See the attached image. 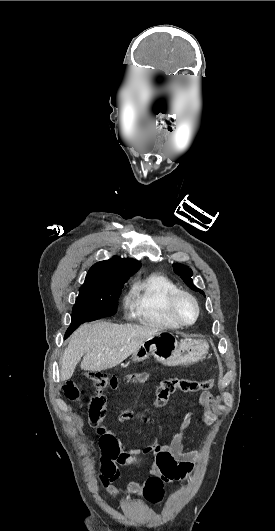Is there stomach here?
<instances>
[{"label":"stomach","mask_w":275,"mask_h":531,"mask_svg":"<svg viewBox=\"0 0 275 531\" xmlns=\"http://www.w3.org/2000/svg\"><path fill=\"white\" fill-rule=\"evenodd\" d=\"M209 345L201 339H183L178 343L176 337L168 331L149 337L132 353V361L140 363L154 357L166 367H188L203 361L208 355Z\"/></svg>","instance_id":"stomach-1"}]
</instances>
